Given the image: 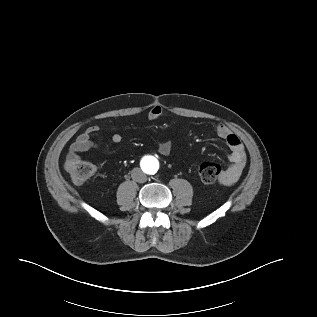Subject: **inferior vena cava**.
Listing matches in <instances>:
<instances>
[{
	"label": "inferior vena cava",
	"mask_w": 317,
	"mask_h": 317,
	"mask_svg": "<svg viewBox=\"0 0 317 317\" xmlns=\"http://www.w3.org/2000/svg\"><path fill=\"white\" fill-rule=\"evenodd\" d=\"M131 177L134 181L139 183H144L147 180V175L140 168H134L131 171Z\"/></svg>",
	"instance_id": "inferior-vena-cava-1"
}]
</instances>
